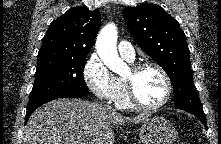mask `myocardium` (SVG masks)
<instances>
[{
  "mask_svg": "<svg viewBox=\"0 0 221 144\" xmlns=\"http://www.w3.org/2000/svg\"><path fill=\"white\" fill-rule=\"evenodd\" d=\"M147 68H154L158 70L160 74L162 75L165 81V85H166V92H165L164 98L162 99V101L154 105H147L141 102L135 90V84H134L135 77H137V75H139L143 70ZM130 71H131V77H125L124 80L126 84L127 96H128L129 102L131 103L133 107L142 109V110H158L169 102L172 96L173 85H172L170 76L161 65L155 62H149V61L141 62V63L134 64L131 67Z\"/></svg>",
  "mask_w": 221,
  "mask_h": 144,
  "instance_id": "obj_1",
  "label": "myocardium"
}]
</instances>
